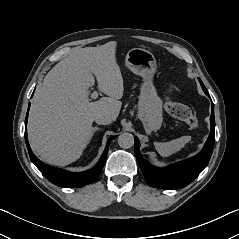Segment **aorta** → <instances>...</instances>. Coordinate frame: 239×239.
I'll return each mask as SVG.
<instances>
[{
    "instance_id": "762f6f07",
    "label": "aorta",
    "mask_w": 239,
    "mask_h": 239,
    "mask_svg": "<svg viewBox=\"0 0 239 239\" xmlns=\"http://www.w3.org/2000/svg\"><path fill=\"white\" fill-rule=\"evenodd\" d=\"M118 144L121 148L128 149L134 145V137L131 133L124 132L118 137Z\"/></svg>"
}]
</instances>
